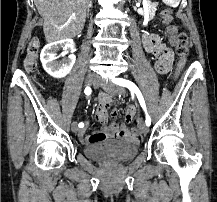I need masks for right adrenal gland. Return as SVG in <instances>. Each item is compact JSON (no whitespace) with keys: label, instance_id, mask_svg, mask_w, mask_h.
Returning a JSON list of instances; mask_svg holds the SVG:
<instances>
[{"label":"right adrenal gland","instance_id":"1","mask_svg":"<svg viewBox=\"0 0 217 202\" xmlns=\"http://www.w3.org/2000/svg\"><path fill=\"white\" fill-rule=\"evenodd\" d=\"M92 2L93 0H89V4L87 6V16H89L90 8H92Z\"/></svg>","mask_w":217,"mask_h":202}]
</instances>
